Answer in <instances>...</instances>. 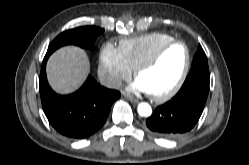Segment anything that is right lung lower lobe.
I'll use <instances>...</instances> for the list:
<instances>
[{
  "label": "right lung lower lobe",
  "mask_w": 249,
  "mask_h": 165,
  "mask_svg": "<svg viewBox=\"0 0 249 165\" xmlns=\"http://www.w3.org/2000/svg\"><path fill=\"white\" fill-rule=\"evenodd\" d=\"M46 54L39 77V91L44 113L52 127L60 134L74 139L91 136L105 123L111 106L120 97L117 90L98 84L90 75L73 94L58 95L46 78Z\"/></svg>",
  "instance_id": "right-lung-lower-lobe-1"
}]
</instances>
